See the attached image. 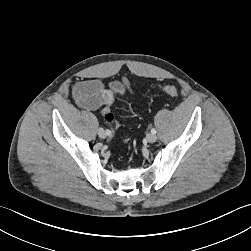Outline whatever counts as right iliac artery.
<instances>
[{"mask_svg": "<svg viewBox=\"0 0 251 251\" xmlns=\"http://www.w3.org/2000/svg\"><path fill=\"white\" fill-rule=\"evenodd\" d=\"M105 132H106L107 135H110V134H111V131H110L109 129H106Z\"/></svg>", "mask_w": 251, "mask_h": 251, "instance_id": "82829eb1", "label": "right iliac artery"}]
</instances>
